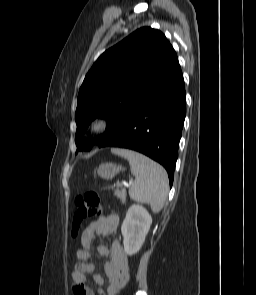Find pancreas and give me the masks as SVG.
<instances>
[{
    "mask_svg": "<svg viewBox=\"0 0 256 295\" xmlns=\"http://www.w3.org/2000/svg\"><path fill=\"white\" fill-rule=\"evenodd\" d=\"M114 194H115L117 197L121 198V199H125V198H126V191H125L124 189L120 190V189H119V186H118V188L115 190Z\"/></svg>",
    "mask_w": 256,
    "mask_h": 295,
    "instance_id": "pancreas-1",
    "label": "pancreas"
}]
</instances>
